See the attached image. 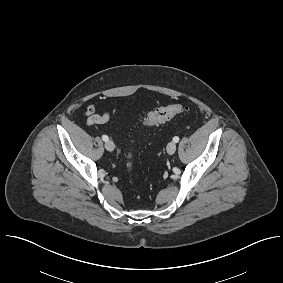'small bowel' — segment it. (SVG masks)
Instances as JSON below:
<instances>
[{
	"mask_svg": "<svg viewBox=\"0 0 283 283\" xmlns=\"http://www.w3.org/2000/svg\"><path fill=\"white\" fill-rule=\"evenodd\" d=\"M84 115L86 117V123L88 125L94 124H104L109 121L111 113L109 111H104L101 114L95 112L94 105H88L85 109Z\"/></svg>",
	"mask_w": 283,
	"mask_h": 283,
	"instance_id": "1",
	"label": "small bowel"
}]
</instances>
